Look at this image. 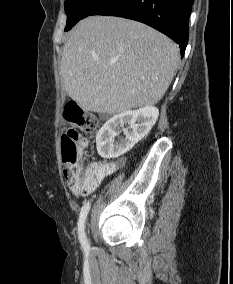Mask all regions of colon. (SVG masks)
Returning <instances> with one entry per match:
<instances>
[{"label": "colon", "instance_id": "obj_1", "mask_svg": "<svg viewBox=\"0 0 233 284\" xmlns=\"http://www.w3.org/2000/svg\"><path fill=\"white\" fill-rule=\"evenodd\" d=\"M64 117L85 133H93L98 127L97 117L86 111L76 101H69L64 108ZM75 128L61 137L64 176L68 187L75 194H88L94 188L92 178L78 164V158L86 140Z\"/></svg>", "mask_w": 233, "mask_h": 284}]
</instances>
